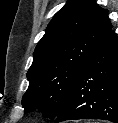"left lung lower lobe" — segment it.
<instances>
[{
  "mask_svg": "<svg viewBox=\"0 0 118 123\" xmlns=\"http://www.w3.org/2000/svg\"><path fill=\"white\" fill-rule=\"evenodd\" d=\"M74 119L118 123V38L112 30L80 71L55 123Z\"/></svg>",
  "mask_w": 118,
  "mask_h": 123,
  "instance_id": "1",
  "label": "left lung lower lobe"
}]
</instances>
